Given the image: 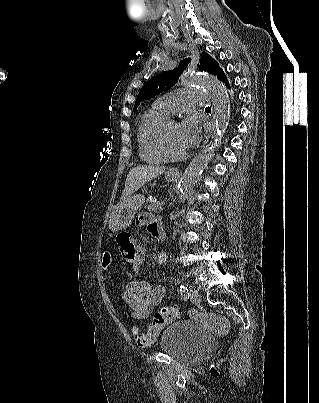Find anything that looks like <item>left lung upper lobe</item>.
<instances>
[{"instance_id":"left-lung-upper-lobe-1","label":"left lung upper lobe","mask_w":319,"mask_h":403,"mask_svg":"<svg viewBox=\"0 0 319 403\" xmlns=\"http://www.w3.org/2000/svg\"><path fill=\"white\" fill-rule=\"evenodd\" d=\"M190 58L181 61L179 67L171 70L165 71L161 74L154 76L150 79L140 90L133 111L137 110L138 105L142 100H148L158 95L160 92L169 90L174 86L179 76L184 71L187 64L190 62ZM200 71H206L210 74L216 75L217 77L222 72L219 64L207 53L202 52L200 64L198 65Z\"/></svg>"}]
</instances>
